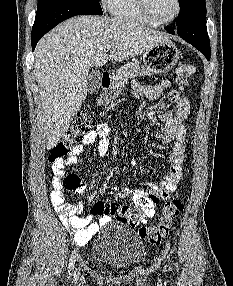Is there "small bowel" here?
<instances>
[{
    "label": "small bowel",
    "instance_id": "1",
    "mask_svg": "<svg viewBox=\"0 0 233 286\" xmlns=\"http://www.w3.org/2000/svg\"><path fill=\"white\" fill-rule=\"evenodd\" d=\"M169 87H171L169 81H164L153 86H144L135 83L133 91L136 97L157 100L162 96L164 90ZM189 112V100L183 96L173 111L161 115V119L166 122V125L158 133L157 138L162 143H173L170 155V170L164 179L159 184L148 183L147 189H131L124 186H116L114 188L115 191L131 196L133 205L141 210L142 217H153L156 204L173 193L176 190L179 180L182 178V164L186 153L187 136L184 122ZM96 140H99V154L106 156L109 153L112 142L107 124L99 123L92 130L85 133L79 140V143L72 148L68 157L58 162L56 167L53 168V190L50 193V200L60 219L69 230L73 240L78 245L86 244L102 226L108 224L113 218L130 224L129 209L131 206L118 203L105 204L104 202H96L91 209V215L80 217L79 214L84 210V203H68L65 201V189L55 171L56 168L63 171L65 166L77 164V157L83 152L84 147L94 143ZM132 164H135L134 158L132 159ZM93 216H99L98 221H93Z\"/></svg>",
    "mask_w": 233,
    "mask_h": 286
}]
</instances>
